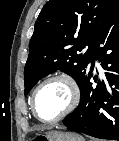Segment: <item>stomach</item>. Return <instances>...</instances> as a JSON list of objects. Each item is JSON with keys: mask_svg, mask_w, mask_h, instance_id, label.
<instances>
[{"mask_svg": "<svg viewBox=\"0 0 119 141\" xmlns=\"http://www.w3.org/2000/svg\"><path fill=\"white\" fill-rule=\"evenodd\" d=\"M48 141H85L84 138L76 133L51 131L44 135Z\"/></svg>", "mask_w": 119, "mask_h": 141, "instance_id": "obj_1", "label": "stomach"}]
</instances>
